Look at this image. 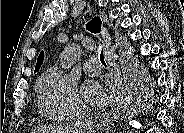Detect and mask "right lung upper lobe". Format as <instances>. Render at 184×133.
I'll use <instances>...</instances> for the list:
<instances>
[{"instance_id":"right-lung-upper-lobe-1","label":"right lung upper lobe","mask_w":184,"mask_h":133,"mask_svg":"<svg viewBox=\"0 0 184 133\" xmlns=\"http://www.w3.org/2000/svg\"><path fill=\"white\" fill-rule=\"evenodd\" d=\"M86 28L92 32V33H99L101 30V20L99 17H95L93 20H91L88 24H86ZM43 57H44V52L42 51L38 57L37 63H36V68L35 72H37L43 63Z\"/></svg>"}]
</instances>
